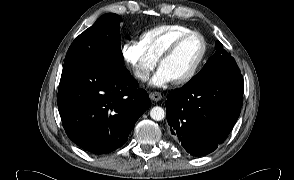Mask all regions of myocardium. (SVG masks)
Instances as JSON below:
<instances>
[{
    "label": "myocardium",
    "mask_w": 294,
    "mask_h": 180,
    "mask_svg": "<svg viewBox=\"0 0 294 180\" xmlns=\"http://www.w3.org/2000/svg\"><path fill=\"white\" fill-rule=\"evenodd\" d=\"M191 36H198L201 40L202 43V51L201 54L198 58V60L196 61V63L194 64V66L192 67V69L182 78L173 81L174 84L176 85H184L187 84L188 82H190L198 73V71L200 70L206 55H207V41L204 37V35L202 33H200L199 31H195V30H191L185 34L180 35L179 37H177L168 47L167 49L162 53V55L159 57V66H161V64L167 59L169 58L175 51L176 49L189 37Z\"/></svg>",
    "instance_id": "1"
}]
</instances>
